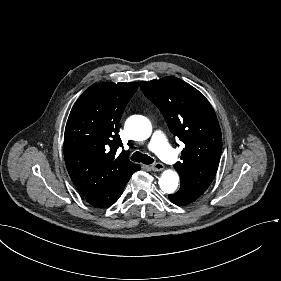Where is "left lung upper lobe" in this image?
Masks as SVG:
<instances>
[{"label": "left lung upper lobe", "instance_id": "5c2ea615", "mask_svg": "<svg viewBox=\"0 0 281 281\" xmlns=\"http://www.w3.org/2000/svg\"><path fill=\"white\" fill-rule=\"evenodd\" d=\"M140 87L162 112L171 132L185 144L182 161L174 165L181 184L203 194L215 177L222 150L212 106L197 89L176 77L142 81Z\"/></svg>", "mask_w": 281, "mask_h": 281}]
</instances>
